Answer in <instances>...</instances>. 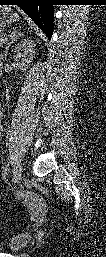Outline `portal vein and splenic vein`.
<instances>
[{"instance_id":"18ae733b","label":"portal vein and splenic vein","mask_w":106,"mask_h":257,"mask_svg":"<svg viewBox=\"0 0 106 257\" xmlns=\"http://www.w3.org/2000/svg\"><path fill=\"white\" fill-rule=\"evenodd\" d=\"M6 42V39H1V43H5Z\"/></svg>"}]
</instances>
